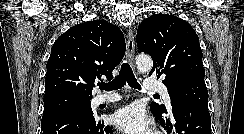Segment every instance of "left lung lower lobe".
<instances>
[{
    "instance_id": "obj_1",
    "label": "left lung lower lobe",
    "mask_w": 244,
    "mask_h": 134,
    "mask_svg": "<svg viewBox=\"0 0 244 134\" xmlns=\"http://www.w3.org/2000/svg\"><path fill=\"white\" fill-rule=\"evenodd\" d=\"M151 111L168 133L211 134V117L206 109L186 104L172 105L174 125L165 114Z\"/></svg>"
}]
</instances>
